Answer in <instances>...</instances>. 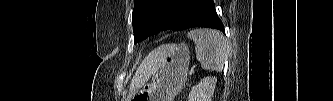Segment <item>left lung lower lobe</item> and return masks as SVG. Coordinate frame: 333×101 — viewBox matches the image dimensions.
I'll return each instance as SVG.
<instances>
[{
  "label": "left lung lower lobe",
  "mask_w": 333,
  "mask_h": 101,
  "mask_svg": "<svg viewBox=\"0 0 333 101\" xmlns=\"http://www.w3.org/2000/svg\"><path fill=\"white\" fill-rule=\"evenodd\" d=\"M184 15L179 20V31L193 27H209L225 32L217 16L213 0H179Z\"/></svg>",
  "instance_id": "left-lung-lower-lobe-1"
}]
</instances>
